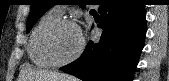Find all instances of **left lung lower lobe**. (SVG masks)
<instances>
[{
  "mask_svg": "<svg viewBox=\"0 0 169 81\" xmlns=\"http://www.w3.org/2000/svg\"><path fill=\"white\" fill-rule=\"evenodd\" d=\"M100 41H89L83 54L61 71L83 81H132L147 31L140 0H100Z\"/></svg>",
  "mask_w": 169,
  "mask_h": 81,
  "instance_id": "obj_1",
  "label": "left lung lower lobe"
}]
</instances>
